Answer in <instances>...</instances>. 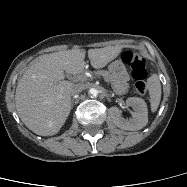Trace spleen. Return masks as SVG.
I'll return each mask as SVG.
<instances>
[{
    "label": "spleen",
    "mask_w": 187,
    "mask_h": 187,
    "mask_svg": "<svg viewBox=\"0 0 187 187\" xmlns=\"http://www.w3.org/2000/svg\"><path fill=\"white\" fill-rule=\"evenodd\" d=\"M151 111L155 112L161 100V84L157 74L148 79Z\"/></svg>",
    "instance_id": "3e777b00"
}]
</instances>
